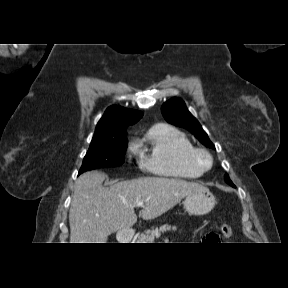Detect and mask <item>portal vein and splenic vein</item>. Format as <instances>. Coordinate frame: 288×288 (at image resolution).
I'll return each instance as SVG.
<instances>
[{"label":"portal vein and splenic vein","instance_id":"portal-vein-and-splenic-vein-1","mask_svg":"<svg viewBox=\"0 0 288 288\" xmlns=\"http://www.w3.org/2000/svg\"><path fill=\"white\" fill-rule=\"evenodd\" d=\"M143 205H144V202H141V201L136 203V207H142Z\"/></svg>","mask_w":288,"mask_h":288}]
</instances>
